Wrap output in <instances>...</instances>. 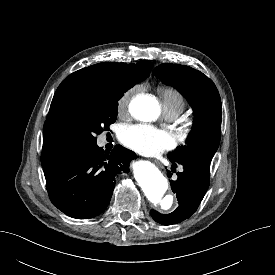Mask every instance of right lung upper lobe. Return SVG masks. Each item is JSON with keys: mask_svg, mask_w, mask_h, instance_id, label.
<instances>
[{"mask_svg": "<svg viewBox=\"0 0 275 275\" xmlns=\"http://www.w3.org/2000/svg\"><path fill=\"white\" fill-rule=\"evenodd\" d=\"M153 67L150 61L134 64L103 62L70 74L56 90L43 127L41 164L46 168L73 149L52 120L55 107L65 100L116 98L145 80ZM120 97V98H121Z\"/></svg>", "mask_w": 275, "mask_h": 275, "instance_id": "obj_1", "label": "right lung upper lobe"}]
</instances>
